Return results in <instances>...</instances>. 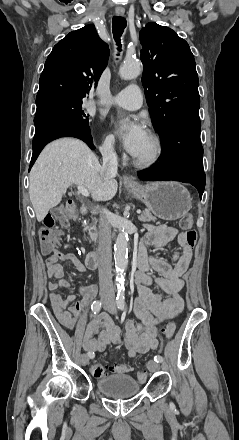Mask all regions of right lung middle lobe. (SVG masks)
I'll use <instances>...</instances> for the list:
<instances>
[{
    "label": "right lung middle lobe",
    "instance_id": "1",
    "mask_svg": "<svg viewBox=\"0 0 239 440\" xmlns=\"http://www.w3.org/2000/svg\"><path fill=\"white\" fill-rule=\"evenodd\" d=\"M36 115L53 112L84 125H89L88 117L82 110V97L53 96L36 102Z\"/></svg>",
    "mask_w": 239,
    "mask_h": 440
}]
</instances>
